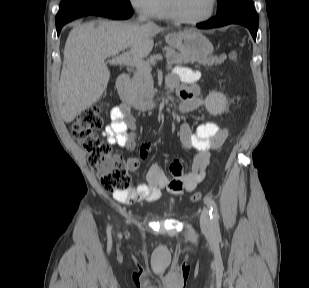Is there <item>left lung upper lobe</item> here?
<instances>
[{"instance_id": "obj_1", "label": "left lung upper lobe", "mask_w": 309, "mask_h": 288, "mask_svg": "<svg viewBox=\"0 0 309 288\" xmlns=\"http://www.w3.org/2000/svg\"><path fill=\"white\" fill-rule=\"evenodd\" d=\"M247 2H251V0H218L217 14H223L240 4Z\"/></svg>"}]
</instances>
